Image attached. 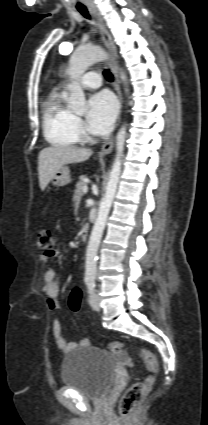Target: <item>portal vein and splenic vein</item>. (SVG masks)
Returning a JSON list of instances; mask_svg holds the SVG:
<instances>
[{"instance_id": "18ae733b", "label": "portal vein and splenic vein", "mask_w": 208, "mask_h": 425, "mask_svg": "<svg viewBox=\"0 0 208 425\" xmlns=\"http://www.w3.org/2000/svg\"><path fill=\"white\" fill-rule=\"evenodd\" d=\"M83 192H84V193H87V192H88V187H87V186H84V187H83Z\"/></svg>"}]
</instances>
